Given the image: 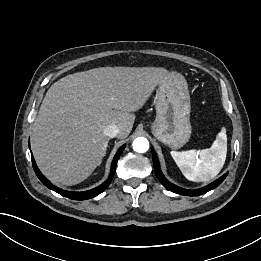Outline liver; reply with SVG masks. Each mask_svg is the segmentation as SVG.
Instances as JSON below:
<instances>
[{
  "mask_svg": "<svg viewBox=\"0 0 261 261\" xmlns=\"http://www.w3.org/2000/svg\"><path fill=\"white\" fill-rule=\"evenodd\" d=\"M164 68L100 67L65 76L47 91L31 135L41 172L54 184L87 179L106 154L105 128L115 124L126 138L138 111L159 83Z\"/></svg>",
  "mask_w": 261,
  "mask_h": 261,
  "instance_id": "obj_1",
  "label": "liver"
}]
</instances>
